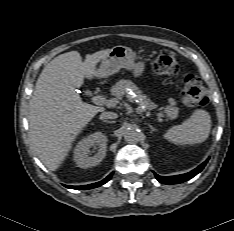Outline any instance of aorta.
<instances>
[{"label": "aorta", "mask_w": 234, "mask_h": 231, "mask_svg": "<svg viewBox=\"0 0 234 231\" xmlns=\"http://www.w3.org/2000/svg\"><path fill=\"white\" fill-rule=\"evenodd\" d=\"M141 131L134 126L126 128L124 132V139L128 143H137L140 141L141 138Z\"/></svg>", "instance_id": "aorta-1"}]
</instances>
